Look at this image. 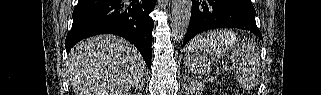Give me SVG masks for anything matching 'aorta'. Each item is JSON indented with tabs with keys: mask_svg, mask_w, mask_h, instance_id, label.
Here are the masks:
<instances>
[{
	"mask_svg": "<svg viewBox=\"0 0 321 95\" xmlns=\"http://www.w3.org/2000/svg\"><path fill=\"white\" fill-rule=\"evenodd\" d=\"M191 0H172V36L176 41L182 40L187 32L191 18Z\"/></svg>",
	"mask_w": 321,
	"mask_h": 95,
	"instance_id": "obj_1",
	"label": "aorta"
}]
</instances>
